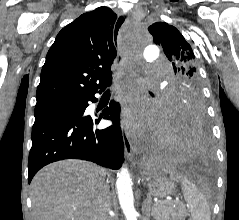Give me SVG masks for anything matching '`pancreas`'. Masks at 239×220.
<instances>
[{"label":"pancreas","instance_id":"cf45deb5","mask_svg":"<svg viewBox=\"0 0 239 220\" xmlns=\"http://www.w3.org/2000/svg\"><path fill=\"white\" fill-rule=\"evenodd\" d=\"M151 215L155 220H184L186 210L183 205L157 203L153 205Z\"/></svg>","mask_w":239,"mask_h":220}]
</instances>
